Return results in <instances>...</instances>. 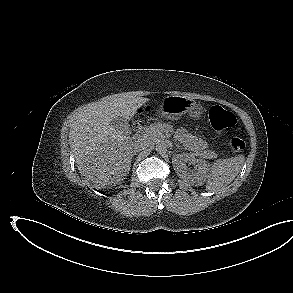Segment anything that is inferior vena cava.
<instances>
[{"instance_id":"obj_1","label":"inferior vena cava","mask_w":293,"mask_h":293,"mask_svg":"<svg viewBox=\"0 0 293 293\" xmlns=\"http://www.w3.org/2000/svg\"><path fill=\"white\" fill-rule=\"evenodd\" d=\"M148 146H149V143L147 140H145V139L144 140H137L133 144V149H134L133 151H134V153L139 152L141 150L146 149Z\"/></svg>"}]
</instances>
